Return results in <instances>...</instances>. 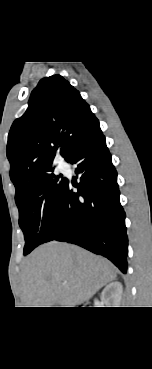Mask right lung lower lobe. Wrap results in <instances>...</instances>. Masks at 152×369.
Wrapping results in <instances>:
<instances>
[{
    "label": "right lung lower lobe",
    "instance_id": "98d812e1",
    "mask_svg": "<svg viewBox=\"0 0 152 369\" xmlns=\"http://www.w3.org/2000/svg\"><path fill=\"white\" fill-rule=\"evenodd\" d=\"M68 162L77 165L75 173L80 183L72 185L67 181L53 231L45 242L57 240L79 245L107 257L126 273L125 212L119 200L117 172L101 129L80 144Z\"/></svg>",
    "mask_w": 152,
    "mask_h": 369
}]
</instances>
